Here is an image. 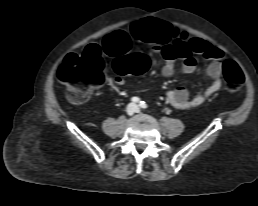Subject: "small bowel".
Returning <instances> with one entry per match:
<instances>
[{"label": "small bowel", "mask_w": 258, "mask_h": 206, "mask_svg": "<svg viewBox=\"0 0 258 206\" xmlns=\"http://www.w3.org/2000/svg\"><path fill=\"white\" fill-rule=\"evenodd\" d=\"M153 35L151 49L162 54L165 61L162 67V75L165 77H171L176 73H194L197 67L194 55H200L210 60L207 75L213 79L212 85L204 93L192 98H190L188 90L184 87L172 89L166 94L169 104L179 110H188L200 106L216 96L222 88L221 75L225 54L221 49L169 26L156 29ZM130 45V34L125 31H116L106 36L101 47L96 44H92L89 47H96L100 51L102 49L108 56L117 60L128 51ZM178 60L180 61L179 65L177 64ZM112 83L118 86L124 85L125 80L122 74L116 76Z\"/></svg>", "instance_id": "1"}]
</instances>
